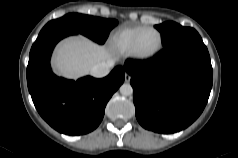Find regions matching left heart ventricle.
Returning a JSON list of instances; mask_svg holds the SVG:
<instances>
[{
  "label": "left heart ventricle",
  "instance_id": "left-heart-ventricle-1",
  "mask_svg": "<svg viewBox=\"0 0 238 158\" xmlns=\"http://www.w3.org/2000/svg\"><path fill=\"white\" fill-rule=\"evenodd\" d=\"M158 41V34L153 30H148L141 36L138 50L144 54L150 53L157 47Z\"/></svg>",
  "mask_w": 238,
  "mask_h": 158
}]
</instances>
